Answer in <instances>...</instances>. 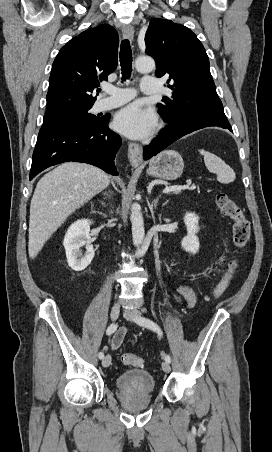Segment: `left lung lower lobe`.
<instances>
[{
	"instance_id": "1",
	"label": "left lung lower lobe",
	"mask_w": 272,
	"mask_h": 452,
	"mask_svg": "<svg viewBox=\"0 0 272 452\" xmlns=\"http://www.w3.org/2000/svg\"><path fill=\"white\" fill-rule=\"evenodd\" d=\"M166 122H168L169 125L162 129L155 141L151 142L144 148L145 160L155 156L177 139L195 130L216 126L232 131V127L227 119L206 120L198 123H178L175 121Z\"/></svg>"
}]
</instances>
